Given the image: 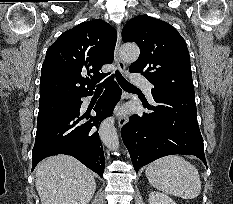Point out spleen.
I'll return each mask as SVG.
<instances>
[{
  "instance_id": "1",
  "label": "spleen",
  "mask_w": 233,
  "mask_h": 204,
  "mask_svg": "<svg viewBox=\"0 0 233 204\" xmlns=\"http://www.w3.org/2000/svg\"><path fill=\"white\" fill-rule=\"evenodd\" d=\"M145 173L154 188L183 199H194L201 191L198 170L178 155L152 162L146 167Z\"/></svg>"
}]
</instances>
